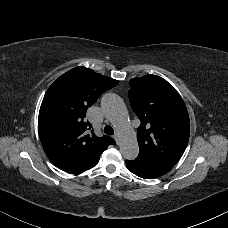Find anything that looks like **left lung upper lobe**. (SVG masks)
Segmentation results:
<instances>
[{
	"label": "left lung upper lobe",
	"mask_w": 228,
	"mask_h": 228,
	"mask_svg": "<svg viewBox=\"0 0 228 228\" xmlns=\"http://www.w3.org/2000/svg\"><path fill=\"white\" fill-rule=\"evenodd\" d=\"M129 84V100L141 121L137 130L138 156L174 166L190 134L189 116L181 96L156 75L134 78Z\"/></svg>",
	"instance_id": "obj_1"
}]
</instances>
